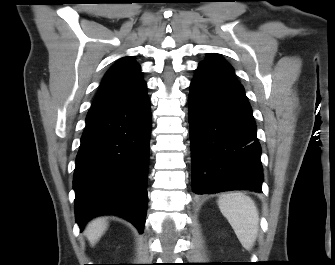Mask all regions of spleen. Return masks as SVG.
<instances>
[{
	"label": "spleen",
	"instance_id": "3e777b00",
	"mask_svg": "<svg viewBox=\"0 0 335 265\" xmlns=\"http://www.w3.org/2000/svg\"><path fill=\"white\" fill-rule=\"evenodd\" d=\"M218 206L241 245L251 250L259 227V214L254 201L242 192H229L219 198Z\"/></svg>",
	"mask_w": 335,
	"mask_h": 265
}]
</instances>
